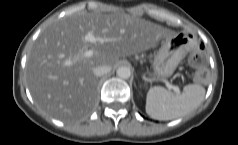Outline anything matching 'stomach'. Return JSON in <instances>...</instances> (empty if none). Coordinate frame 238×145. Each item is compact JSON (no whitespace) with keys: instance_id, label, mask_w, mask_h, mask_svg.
<instances>
[{"instance_id":"1","label":"stomach","mask_w":238,"mask_h":145,"mask_svg":"<svg viewBox=\"0 0 238 145\" xmlns=\"http://www.w3.org/2000/svg\"><path fill=\"white\" fill-rule=\"evenodd\" d=\"M196 42L191 32H180L178 35L167 36L156 52L149 77L163 80L170 77L181 59L190 55Z\"/></svg>"}]
</instances>
